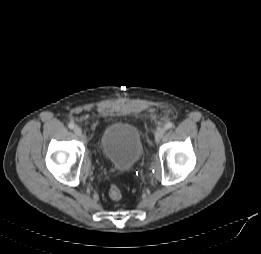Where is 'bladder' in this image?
<instances>
[{"label": "bladder", "instance_id": "bladder-1", "mask_svg": "<svg viewBox=\"0 0 261 254\" xmlns=\"http://www.w3.org/2000/svg\"><path fill=\"white\" fill-rule=\"evenodd\" d=\"M99 147L103 157L121 170L132 168L143 154V144L138 128L125 122L113 123L106 127Z\"/></svg>", "mask_w": 261, "mask_h": 254}]
</instances>
